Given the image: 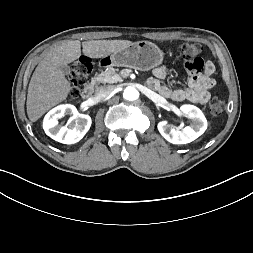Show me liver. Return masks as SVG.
Returning <instances> with one entry per match:
<instances>
[{"label":"liver","instance_id":"1","mask_svg":"<svg viewBox=\"0 0 253 253\" xmlns=\"http://www.w3.org/2000/svg\"><path fill=\"white\" fill-rule=\"evenodd\" d=\"M133 44L129 40H90L82 43L83 54L101 58ZM81 55L79 40H66L53 46L36 67L28 87L27 115L37 121L53 106L65 100L71 91L60 65H67Z\"/></svg>","mask_w":253,"mask_h":253}]
</instances>
